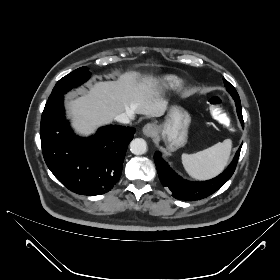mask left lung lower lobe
I'll return each instance as SVG.
<instances>
[{"label": "left lung lower lobe", "mask_w": 280, "mask_h": 280, "mask_svg": "<svg viewBox=\"0 0 280 280\" xmlns=\"http://www.w3.org/2000/svg\"><path fill=\"white\" fill-rule=\"evenodd\" d=\"M234 100L236 102L239 120L242 124V127H244L240 99ZM241 147L242 144L237 150L233 161L226 168V170H224L223 173H221L216 178L205 182H188L186 180H183L174 171L171 170L168 164L161 158L159 152L155 153L154 161L162 185L164 187H168L172 191V196L178 200L194 201L206 198L209 195L213 194L231 178L237 166Z\"/></svg>", "instance_id": "1"}]
</instances>
